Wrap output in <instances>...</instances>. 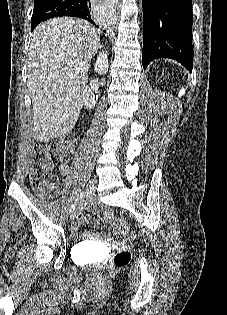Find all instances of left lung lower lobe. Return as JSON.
<instances>
[{
    "instance_id": "obj_1",
    "label": "left lung lower lobe",
    "mask_w": 227,
    "mask_h": 315,
    "mask_svg": "<svg viewBox=\"0 0 227 315\" xmlns=\"http://www.w3.org/2000/svg\"><path fill=\"white\" fill-rule=\"evenodd\" d=\"M142 5L143 67L166 57L177 60L191 72L192 0H142Z\"/></svg>"
}]
</instances>
